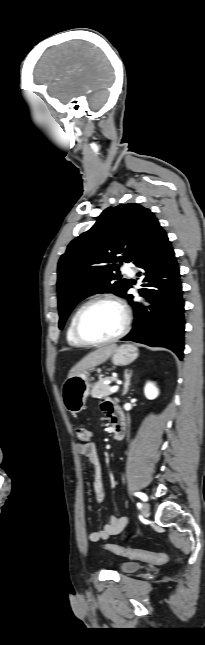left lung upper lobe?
<instances>
[{
  "mask_svg": "<svg viewBox=\"0 0 205 645\" xmlns=\"http://www.w3.org/2000/svg\"><path fill=\"white\" fill-rule=\"evenodd\" d=\"M147 208L136 204L109 207L90 230L68 245L58 263L59 328L74 306L101 292L126 295L130 281L118 279L119 262H132L149 225L156 221Z\"/></svg>",
  "mask_w": 205,
  "mask_h": 645,
  "instance_id": "left-lung-upper-lobe-1",
  "label": "left lung upper lobe"
}]
</instances>
